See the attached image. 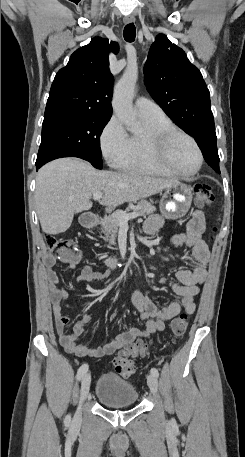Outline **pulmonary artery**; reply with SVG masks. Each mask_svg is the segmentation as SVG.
Listing matches in <instances>:
<instances>
[{"instance_id": "e3ab8cb5", "label": "pulmonary artery", "mask_w": 245, "mask_h": 457, "mask_svg": "<svg viewBox=\"0 0 245 457\" xmlns=\"http://www.w3.org/2000/svg\"><path fill=\"white\" fill-rule=\"evenodd\" d=\"M134 104L136 111L143 118H153L164 115V112L159 105L142 97L136 98Z\"/></svg>"}]
</instances>
